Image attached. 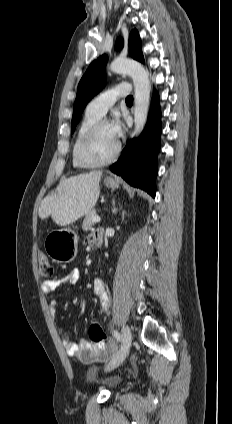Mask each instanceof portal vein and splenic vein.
Listing matches in <instances>:
<instances>
[{
  "instance_id": "1",
  "label": "portal vein and splenic vein",
  "mask_w": 232,
  "mask_h": 424,
  "mask_svg": "<svg viewBox=\"0 0 232 424\" xmlns=\"http://www.w3.org/2000/svg\"><path fill=\"white\" fill-rule=\"evenodd\" d=\"M92 221L93 222H100L101 221V218L99 217V216H95L93 219H92Z\"/></svg>"
}]
</instances>
